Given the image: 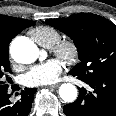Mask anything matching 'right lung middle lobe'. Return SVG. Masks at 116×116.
<instances>
[{
	"instance_id": "right-lung-middle-lobe-1",
	"label": "right lung middle lobe",
	"mask_w": 116,
	"mask_h": 116,
	"mask_svg": "<svg viewBox=\"0 0 116 116\" xmlns=\"http://www.w3.org/2000/svg\"><path fill=\"white\" fill-rule=\"evenodd\" d=\"M34 24L35 22L32 21L31 25ZM9 73H11V69L9 64L8 47L0 46V95L8 93V83L11 81V78L8 77Z\"/></svg>"
}]
</instances>
